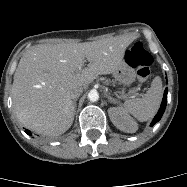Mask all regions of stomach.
<instances>
[{"label": "stomach", "instance_id": "stomach-1", "mask_svg": "<svg viewBox=\"0 0 187 187\" xmlns=\"http://www.w3.org/2000/svg\"><path fill=\"white\" fill-rule=\"evenodd\" d=\"M114 78L124 85H129L135 81L136 71L125 61L113 73Z\"/></svg>", "mask_w": 187, "mask_h": 187}]
</instances>
